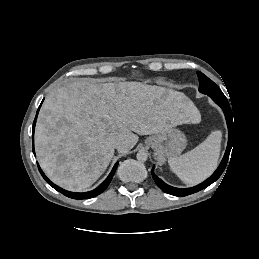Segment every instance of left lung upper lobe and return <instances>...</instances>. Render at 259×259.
Masks as SVG:
<instances>
[{"mask_svg":"<svg viewBox=\"0 0 259 259\" xmlns=\"http://www.w3.org/2000/svg\"><path fill=\"white\" fill-rule=\"evenodd\" d=\"M198 78H199V91L201 93L207 94L209 96H223L224 94L220 90V88L207 76H205L201 72H197Z\"/></svg>","mask_w":259,"mask_h":259,"instance_id":"1","label":"left lung upper lobe"}]
</instances>
